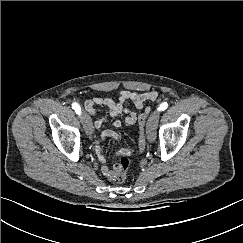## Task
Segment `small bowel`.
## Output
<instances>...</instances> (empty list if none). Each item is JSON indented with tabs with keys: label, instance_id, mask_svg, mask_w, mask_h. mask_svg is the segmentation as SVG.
Masks as SVG:
<instances>
[{
	"label": "small bowel",
	"instance_id": "small-bowel-1",
	"mask_svg": "<svg viewBox=\"0 0 243 243\" xmlns=\"http://www.w3.org/2000/svg\"><path fill=\"white\" fill-rule=\"evenodd\" d=\"M157 97L158 93L156 91L131 92L123 90L118 93L116 100L109 97H95L92 99H87L84 102V108L88 114L95 119V128L102 130L98 139H96L94 142V149L98 160L103 164L101 172L108 180H114L116 171L114 167L110 168L106 165L107 159L102 144L107 137H112L115 139L119 138V135L111 128L120 127L122 125V121L126 125H133L137 122L138 118L136 113L129 109L130 103H133L138 109H144V113L149 114L150 108L146 106V104L156 100ZM96 106H105L108 109L110 117L113 118V120L108 122L111 128L105 127L107 119L98 116L95 108ZM138 142L135 143V141H133L131 148L121 149L118 154L130 155L136 152Z\"/></svg>",
	"mask_w": 243,
	"mask_h": 243
}]
</instances>
